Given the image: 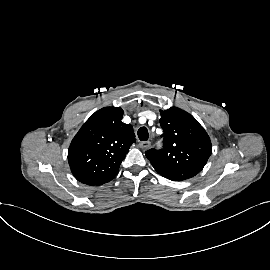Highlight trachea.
<instances>
[{"instance_id":"1","label":"trachea","mask_w":270,"mask_h":270,"mask_svg":"<svg viewBox=\"0 0 270 270\" xmlns=\"http://www.w3.org/2000/svg\"><path fill=\"white\" fill-rule=\"evenodd\" d=\"M148 136H149V134H148V130H147L146 127L139 128V130H138V137H139V139L141 141L148 140Z\"/></svg>"}]
</instances>
